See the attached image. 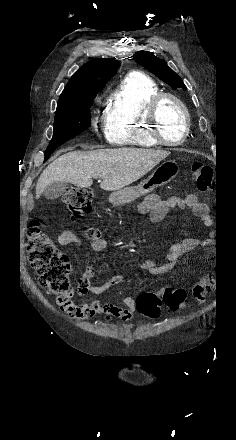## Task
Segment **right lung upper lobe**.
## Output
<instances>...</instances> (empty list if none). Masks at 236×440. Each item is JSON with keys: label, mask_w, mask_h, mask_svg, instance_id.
<instances>
[{"label": "right lung upper lobe", "mask_w": 236, "mask_h": 440, "mask_svg": "<svg viewBox=\"0 0 236 440\" xmlns=\"http://www.w3.org/2000/svg\"><path fill=\"white\" fill-rule=\"evenodd\" d=\"M120 63L113 59H93L84 64L69 80L58 103L98 93L115 75Z\"/></svg>", "instance_id": "right-lung-upper-lobe-1"}]
</instances>
